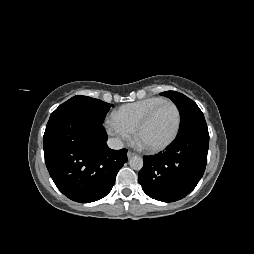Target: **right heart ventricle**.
Segmentation results:
<instances>
[{
  "label": "right heart ventricle",
  "instance_id": "obj_1",
  "mask_svg": "<svg viewBox=\"0 0 254 254\" xmlns=\"http://www.w3.org/2000/svg\"><path fill=\"white\" fill-rule=\"evenodd\" d=\"M166 100L163 97H148L135 102L120 106L113 113V116L125 126L135 130L138 123L157 104Z\"/></svg>",
  "mask_w": 254,
  "mask_h": 254
}]
</instances>
